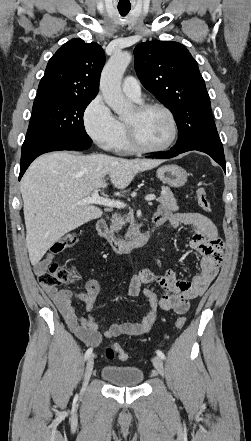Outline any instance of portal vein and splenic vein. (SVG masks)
Instances as JSON below:
<instances>
[{"instance_id":"1","label":"portal vein and splenic vein","mask_w":251,"mask_h":441,"mask_svg":"<svg viewBox=\"0 0 251 441\" xmlns=\"http://www.w3.org/2000/svg\"><path fill=\"white\" fill-rule=\"evenodd\" d=\"M155 199H156V196L153 194H150L145 197V200H147V201H153ZM77 204H79V205L98 204V205H103V206H107V207H115V208H124L126 206V204H124L121 201L111 200V199L99 196L97 190H94L91 196L82 199L81 201L77 202Z\"/></svg>"}]
</instances>
